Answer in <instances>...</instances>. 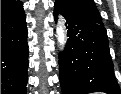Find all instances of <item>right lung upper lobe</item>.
<instances>
[{
  "label": "right lung upper lobe",
  "mask_w": 121,
  "mask_h": 94,
  "mask_svg": "<svg viewBox=\"0 0 121 94\" xmlns=\"http://www.w3.org/2000/svg\"><path fill=\"white\" fill-rule=\"evenodd\" d=\"M16 0H1V9L7 8L13 4H15Z\"/></svg>",
  "instance_id": "obj_1"
}]
</instances>
